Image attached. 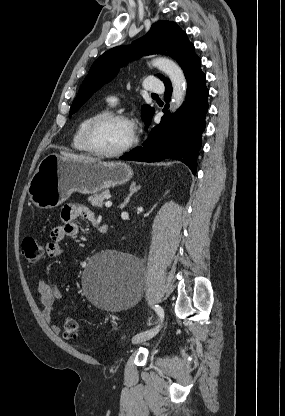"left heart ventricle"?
I'll use <instances>...</instances> for the list:
<instances>
[{"instance_id":"left-heart-ventricle-1","label":"left heart ventricle","mask_w":285,"mask_h":416,"mask_svg":"<svg viewBox=\"0 0 285 416\" xmlns=\"http://www.w3.org/2000/svg\"><path fill=\"white\" fill-rule=\"evenodd\" d=\"M130 137L128 125L118 120H108L97 125L92 132L94 144L104 150L122 148Z\"/></svg>"}]
</instances>
